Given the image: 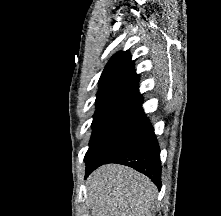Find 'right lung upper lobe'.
I'll list each match as a JSON object with an SVG mask.
<instances>
[{
	"instance_id": "right-lung-upper-lobe-1",
	"label": "right lung upper lobe",
	"mask_w": 221,
	"mask_h": 216,
	"mask_svg": "<svg viewBox=\"0 0 221 216\" xmlns=\"http://www.w3.org/2000/svg\"><path fill=\"white\" fill-rule=\"evenodd\" d=\"M138 82L129 53L114 55L100 77L93 121L119 115H145Z\"/></svg>"
}]
</instances>
